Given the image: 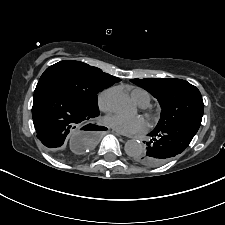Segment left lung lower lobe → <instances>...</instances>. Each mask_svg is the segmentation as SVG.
<instances>
[{
	"instance_id": "0a47b994",
	"label": "left lung lower lobe",
	"mask_w": 225,
	"mask_h": 225,
	"mask_svg": "<svg viewBox=\"0 0 225 225\" xmlns=\"http://www.w3.org/2000/svg\"><path fill=\"white\" fill-rule=\"evenodd\" d=\"M200 121H185L162 130L149 133L152 139L146 142L147 148L136 161L146 166H159L177 154L182 153L197 133Z\"/></svg>"
}]
</instances>
